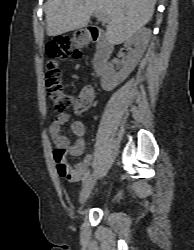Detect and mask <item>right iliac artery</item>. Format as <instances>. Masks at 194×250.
I'll list each match as a JSON object with an SVG mask.
<instances>
[{
	"mask_svg": "<svg viewBox=\"0 0 194 250\" xmlns=\"http://www.w3.org/2000/svg\"><path fill=\"white\" fill-rule=\"evenodd\" d=\"M91 177V170H89L83 178L82 185L84 186L88 179Z\"/></svg>",
	"mask_w": 194,
	"mask_h": 250,
	"instance_id": "obj_1",
	"label": "right iliac artery"
}]
</instances>
